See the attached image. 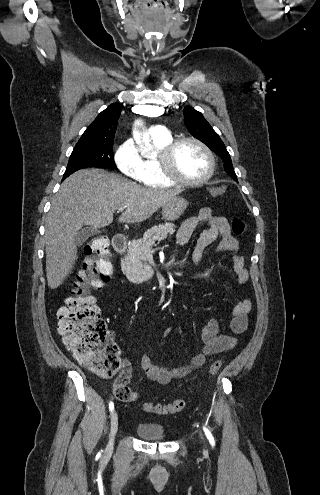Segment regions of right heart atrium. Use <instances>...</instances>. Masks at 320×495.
Returning <instances> with one entry per match:
<instances>
[{"instance_id":"obj_1","label":"right heart atrium","mask_w":320,"mask_h":495,"mask_svg":"<svg viewBox=\"0 0 320 495\" xmlns=\"http://www.w3.org/2000/svg\"><path fill=\"white\" fill-rule=\"evenodd\" d=\"M114 158L119 170L123 174L135 181L143 182L142 159L132 140H125L116 150Z\"/></svg>"}]
</instances>
